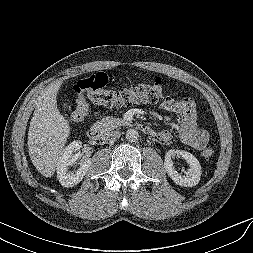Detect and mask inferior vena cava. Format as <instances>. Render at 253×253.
I'll use <instances>...</instances> for the list:
<instances>
[{
	"label": "inferior vena cava",
	"mask_w": 253,
	"mask_h": 253,
	"mask_svg": "<svg viewBox=\"0 0 253 253\" xmlns=\"http://www.w3.org/2000/svg\"><path fill=\"white\" fill-rule=\"evenodd\" d=\"M121 136V133L119 131H109L106 132L103 136V140L109 143L115 142L117 139H119Z\"/></svg>",
	"instance_id": "602c4592"
}]
</instances>
